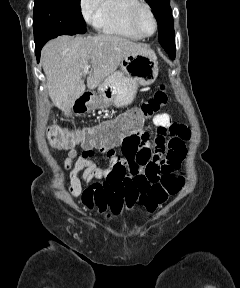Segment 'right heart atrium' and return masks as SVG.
Returning <instances> with one entry per match:
<instances>
[{
    "label": "right heart atrium",
    "mask_w": 240,
    "mask_h": 288,
    "mask_svg": "<svg viewBox=\"0 0 240 288\" xmlns=\"http://www.w3.org/2000/svg\"><path fill=\"white\" fill-rule=\"evenodd\" d=\"M104 0H80L79 6L83 18L92 25H97Z\"/></svg>",
    "instance_id": "d8ad5b80"
}]
</instances>
